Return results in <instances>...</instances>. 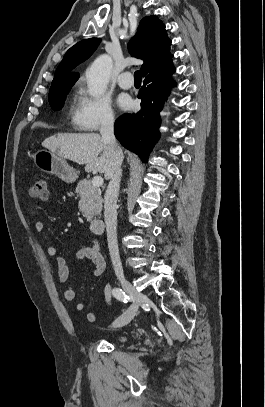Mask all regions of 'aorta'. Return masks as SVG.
<instances>
[{
  "label": "aorta",
  "instance_id": "aorta-1",
  "mask_svg": "<svg viewBox=\"0 0 265 407\" xmlns=\"http://www.w3.org/2000/svg\"><path fill=\"white\" fill-rule=\"evenodd\" d=\"M113 62L110 56L101 55L97 57L86 70L88 93L98 97L106 90L109 82Z\"/></svg>",
  "mask_w": 265,
  "mask_h": 407
}]
</instances>
